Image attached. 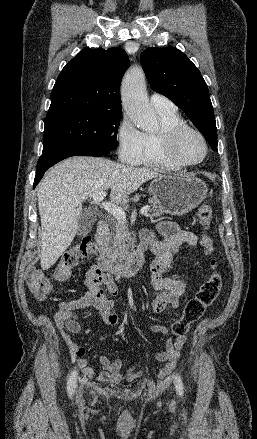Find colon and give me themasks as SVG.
Here are the masks:
<instances>
[{
    "label": "colon",
    "instance_id": "5ec220e1",
    "mask_svg": "<svg viewBox=\"0 0 257 439\" xmlns=\"http://www.w3.org/2000/svg\"><path fill=\"white\" fill-rule=\"evenodd\" d=\"M213 210L208 202L202 203L197 210V219L202 229L206 231L212 221ZM202 245L208 253L213 250L210 237L204 232ZM96 245L90 236H84L80 243L70 248L62 257L55 274L56 281H65L71 275V270L76 267L83 258L92 256L96 253ZM212 272L209 277L201 284L195 295L188 300L184 311L172 325V333L175 336L184 335L189 326L203 317L205 311L218 297L222 287V278L218 272L216 259L211 261ZM27 284L32 294L45 299L54 292V284L45 275L36 269H31L27 274Z\"/></svg>",
    "mask_w": 257,
    "mask_h": 439
}]
</instances>
